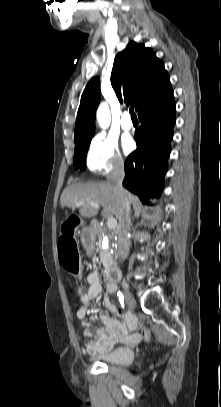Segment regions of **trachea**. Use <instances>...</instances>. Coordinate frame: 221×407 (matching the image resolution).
<instances>
[{
  "label": "trachea",
  "mask_w": 221,
  "mask_h": 407,
  "mask_svg": "<svg viewBox=\"0 0 221 407\" xmlns=\"http://www.w3.org/2000/svg\"><path fill=\"white\" fill-rule=\"evenodd\" d=\"M129 111H130L132 118H136V114L134 113L133 107H130Z\"/></svg>",
  "instance_id": "3493384b"
}]
</instances>
